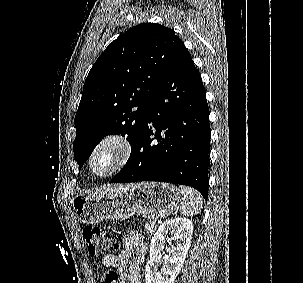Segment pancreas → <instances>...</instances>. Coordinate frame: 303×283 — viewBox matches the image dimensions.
<instances>
[{"label": "pancreas", "instance_id": "pancreas-1", "mask_svg": "<svg viewBox=\"0 0 303 283\" xmlns=\"http://www.w3.org/2000/svg\"><path fill=\"white\" fill-rule=\"evenodd\" d=\"M157 227L153 222L145 224V231L149 235H153L156 231Z\"/></svg>", "mask_w": 303, "mask_h": 283}]
</instances>
